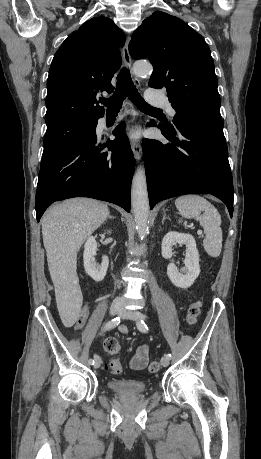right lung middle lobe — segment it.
Wrapping results in <instances>:
<instances>
[{"label": "right lung middle lobe", "instance_id": "right-lung-middle-lobe-1", "mask_svg": "<svg viewBox=\"0 0 261 459\" xmlns=\"http://www.w3.org/2000/svg\"><path fill=\"white\" fill-rule=\"evenodd\" d=\"M97 120H65L48 126L42 162L75 145L96 138Z\"/></svg>", "mask_w": 261, "mask_h": 459}]
</instances>
